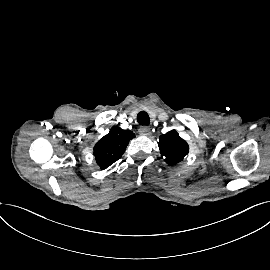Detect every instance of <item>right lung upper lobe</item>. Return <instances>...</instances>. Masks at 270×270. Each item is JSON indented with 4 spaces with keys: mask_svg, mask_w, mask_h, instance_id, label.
<instances>
[{
    "mask_svg": "<svg viewBox=\"0 0 270 270\" xmlns=\"http://www.w3.org/2000/svg\"><path fill=\"white\" fill-rule=\"evenodd\" d=\"M135 134L114 126L110 132L100 139L94 146L96 163L101 169H106L120 159L131 139Z\"/></svg>",
    "mask_w": 270,
    "mask_h": 270,
    "instance_id": "1",
    "label": "right lung upper lobe"
}]
</instances>
